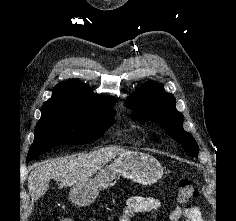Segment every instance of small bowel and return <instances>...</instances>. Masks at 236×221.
Returning a JSON list of instances; mask_svg holds the SVG:
<instances>
[{"label":"small bowel","instance_id":"small-bowel-1","mask_svg":"<svg viewBox=\"0 0 236 221\" xmlns=\"http://www.w3.org/2000/svg\"><path fill=\"white\" fill-rule=\"evenodd\" d=\"M165 204L155 197L133 196L127 200L126 206L117 212L116 221H132L140 213L159 211ZM170 219L178 221H203L198 207L175 206L170 210Z\"/></svg>","mask_w":236,"mask_h":221}]
</instances>
